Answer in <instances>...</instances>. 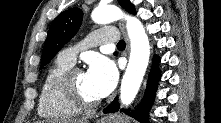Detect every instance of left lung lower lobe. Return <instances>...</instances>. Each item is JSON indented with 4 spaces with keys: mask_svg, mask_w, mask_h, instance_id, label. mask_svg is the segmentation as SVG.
Returning a JSON list of instances; mask_svg holds the SVG:
<instances>
[{
    "mask_svg": "<svg viewBox=\"0 0 221 123\" xmlns=\"http://www.w3.org/2000/svg\"><path fill=\"white\" fill-rule=\"evenodd\" d=\"M159 58L154 56L153 58V65L148 77L147 88L145 91L144 98L142 103L138 106L135 111L131 112V115L134 116L136 119L140 120L141 122H148V111L153 103V99L155 97V92L157 89L158 80L160 78V71L158 68ZM119 110V103L118 97H116L113 102L107 106L103 112L104 113H113Z\"/></svg>",
    "mask_w": 221,
    "mask_h": 123,
    "instance_id": "obj_1",
    "label": "left lung lower lobe"
}]
</instances>
